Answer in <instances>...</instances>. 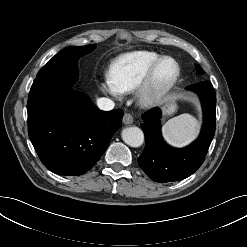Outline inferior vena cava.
Segmentation results:
<instances>
[{"instance_id": "inferior-vena-cava-1", "label": "inferior vena cava", "mask_w": 247, "mask_h": 247, "mask_svg": "<svg viewBox=\"0 0 247 247\" xmlns=\"http://www.w3.org/2000/svg\"><path fill=\"white\" fill-rule=\"evenodd\" d=\"M97 106L101 110L109 111L112 110L115 106L114 102L108 98H99L97 100Z\"/></svg>"}]
</instances>
